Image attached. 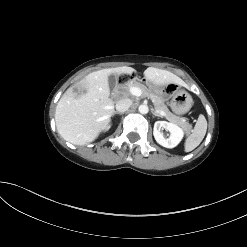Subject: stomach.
Listing matches in <instances>:
<instances>
[{
    "mask_svg": "<svg viewBox=\"0 0 247 247\" xmlns=\"http://www.w3.org/2000/svg\"><path fill=\"white\" fill-rule=\"evenodd\" d=\"M164 89L169 92L166 96L171 98L170 107L175 114L182 115L191 109L193 99L191 95L184 89H181L179 85L170 83L165 85Z\"/></svg>",
    "mask_w": 247,
    "mask_h": 247,
    "instance_id": "0dacf381",
    "label": "stomach"
}]
</instances>
